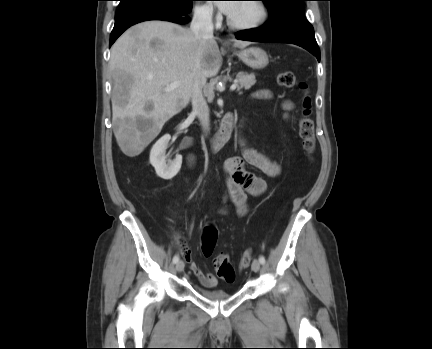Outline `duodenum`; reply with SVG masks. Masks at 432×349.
I'll return each mask as SVG.
<instances>
[{"label":"duodenum","mask_w":432,"mask_h":349,"mask_svg":"<svg viewBox=\"0 0 432 349\" xmlns=\"http://www.w3.org/2000/svg\"><path fill=\"white\" fill-rule=\"evenodd\" d=\"M234 126V116L229 113L224 116L221 122V127L216 136L212 139L211 147L213 152L220 151L229 141L232 135Z\"/></svg>","instance_id":"obj_1"}]
</instances>
